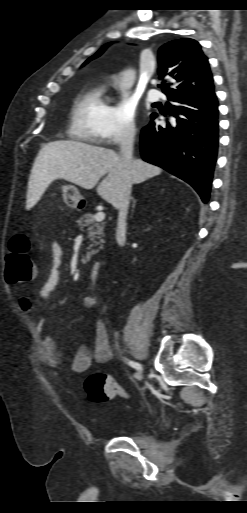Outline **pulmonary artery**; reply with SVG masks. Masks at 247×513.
<instances>
[{"label":"pulmonary artery","instance_id":"e3ab8cb5","mask_svg":"<svg viewBox=\"0 0 247 513\" xmlns=\"http://www.w3.org/2000/svg\"><path fill=\"white\" fill-rule=\"evenodd\" d=\"M148 98L151 102H156L160 99V93L155 89H151L148 92Z\"/></svg>","mask_w":247,"mask_h":513}]
</instances>
